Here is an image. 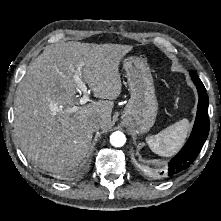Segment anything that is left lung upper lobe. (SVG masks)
I'll list each match as a JSON object with an SVG mask.
<instances>
[{"instance_id": "5c2ea615", "label": "left lung upper lobe", "mask_w": 221, "mask_h": 221, "mask_svg": "<svg viewBox=\"0 0 221 221\" xmlns=\"http://www.w3.org/2000/svg\"><path fill=\"white\" fill-rule=\"evenodd\" d=\"M191 78L194 81H201L194 71H190Z\"/></svg>"}]
</instances>
